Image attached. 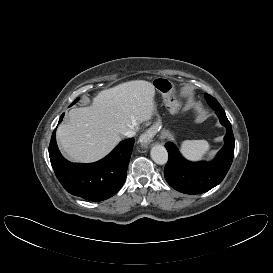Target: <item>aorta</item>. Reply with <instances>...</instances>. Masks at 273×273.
<instances>
[{
  "mask_svg": "<svg viewBox=\"0 0 273 273\" xmlns=\"http://www.w3.org/2000/svg\"><path fill=\"white\" fill-rule=\"evenodd\" d=\"M150 155L152 160L159 165H164L168 161V152L162 145L153 146Z\"/></svg>",
  "mask_w": 273,
  "mask_h": 273,
  "instance_id": "762f6f07",
  "label": "aorta"
}]
</instances>
